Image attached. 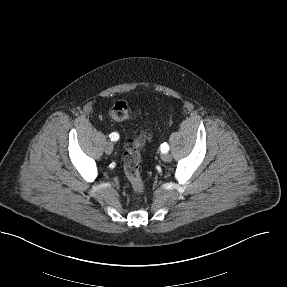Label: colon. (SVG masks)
Returning <instances> with one entry per match:
<instances>
[{"mask_svg":"<svg viewBox=\"0 0 287 287\" xmlns=\"http://www.w3.org/2000/svg\"><path fill=\"white\" fill-rule=\"evenodd\" d=\"M110 116L116 121H126L134 117V111L130 105L123 100L116 101L111 109ZM150 136L149 131H142L138 136L127 141L123 155L125 174L134 190L140 194L145 185L140 173L141 149Z\"/></svg>","mask_w":287,"mask_h":287,"instance_id":"obj_1","label":"colon"}]
</instances>
